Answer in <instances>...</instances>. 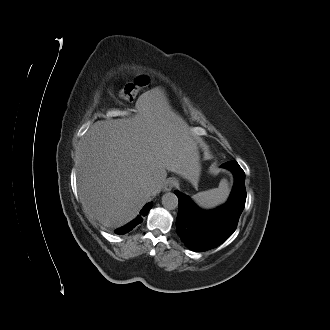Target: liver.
Here are the masks:
<instances>
[{
  "label": "liver",
  "mask_w": 330,
  "mask_h": 330,
  "mask_svg": "<svg viewBox=\"0 0 330 330\" xmlns=\"http://www.w3.org/2000/svg\"><path fill=\"white\" fill-rule=\"evenodd\" d=\"M195 155L184 118L165 98L142 94L134 115L97 121L87 134L78 172L84 211L107 228L127 224L161 190L166 170L189 178ZM149 179L156 181L153 193Z\"/></svg>",
  "instance_id": "1"
}]
</instances>
